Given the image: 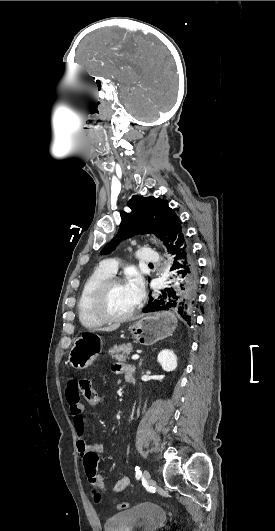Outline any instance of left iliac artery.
I'll list each match as a JSON object with an SVG mask.
<instances>
[{
	"label": "left iliac artery",
	"mask_w": 275,
	"mask_h": 531,
	"mask_svg": "<svg viewBox=\"0 0 275 531\" xmlns=\"http://www.w3.org/2000/svg\"><path fill=\"white\" fill-rule=\"evenodd\" d=\"M135 471H136L135 477H136L137 480H139L142 477V472L140 470V467L136 466L135 467Z\"/></svg>",
	"instance_id": "44dca946"
}]
</instances>
